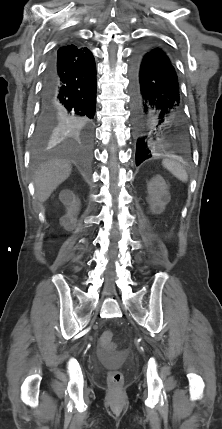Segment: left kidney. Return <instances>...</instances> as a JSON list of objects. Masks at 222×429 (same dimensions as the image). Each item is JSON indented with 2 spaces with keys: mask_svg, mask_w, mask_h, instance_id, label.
Instances as JSON below:
<instances>
[{
  "mask_svg": "<svg viewBox=\"0 0 222 429\" xmlns=\"http://www.w3.org/2000/svg\"><path fill=\"white\" fill-rule=\"evenodd\" d=\"M148 202L150 209L155 214H160L170 201L168 185L165 180L157 175L148 183Z\"/></svg>",
  "mask_w": 222,
  "mask_h": 429,
  "instance_id": "1",
  "label": "left kidney"
}]
</instances>
